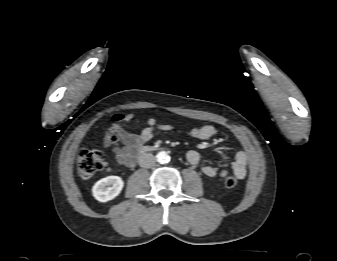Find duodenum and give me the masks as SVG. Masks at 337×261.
<instances>
[{
    "mask_svg": "<svg viewBox=\"0 0 337 261\" xmlns=\"http://www.w3.org/2000/svg\"><path fill=\"white\" fill-rule=\"evenodd\" d=\"M150 150H151V147H149V146H144V147H142V148L139 150L138 155H143L144 153H146V152H148V151H150Z\"/></svg>",
    "mask_w": 337,
    "mask_h": 261,
    "instance_id": "410a0bca",
    "label": "duodenum"
}]
</instances>
